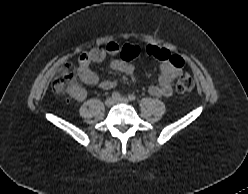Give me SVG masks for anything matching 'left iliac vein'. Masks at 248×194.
<instances>
[{
  "mask_svg": "<svg viewBox=\"0 0 248 194\" xmlns=\"http://www.w3.org/2000/svg\"><path fill=\"white\" fill-rule=\"evenodd\" d=\"M115 103L128 104L129 103V99L126 98V97H121V98L115 100Z\"/></svg>",
  "mask_w": 248,
  "mask_h": 194,
  "instance_id": "1",
  "label": "left iliac vein"
}]
</instances>
